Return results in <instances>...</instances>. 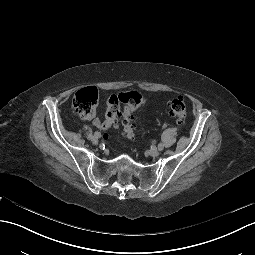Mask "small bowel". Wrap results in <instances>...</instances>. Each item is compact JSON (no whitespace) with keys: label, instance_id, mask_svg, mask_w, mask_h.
Listing matches in <instances>:
<instances>
[{"label":"small bowel","instance_id":"small-bowel-1","mask_svg":"<svg viewBox=\"0 0 255 255\" xmlns=\"http://www.w3.org/2000/svg\"><path fill=\"white\" fill-rule=\"evenodd\" d=\"M93 124H94L95 126H99V125H100V122H99L98 119H95V120L93 121Z\"/></svg>","mask_w":255,"mask_h":255}]
</instances>
